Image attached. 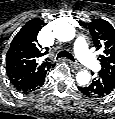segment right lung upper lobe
I'll return each mask as SVG.
<instances>
[{"label": "right lung upper lobe", "instance_id": "obj_1", "mask_svg": "<svg viewBox=\"0 0 115 119\" xmlns=\"http://www.w3.org/2000/svg\"><path fill=\"white\" fill-rule=\"evenodd\" d=\"M44 25L39 18L28 21L11 42L6 55V72L15 87L33 82L54 66L47 58L43 59L48 51L44 52L37 40Z\"/></svg>", "mask_w": 115, "mask_h": 119}]
</instances>
